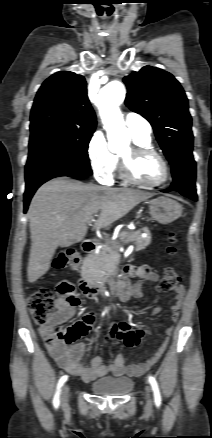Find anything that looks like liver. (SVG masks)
Listing matches in <instances>:
<instances>
[{"label": "liver", "instance_id": "1", "mask_svg": "<svg viewBox=\"0 0 212 438\" xmlns=\"http://www.w3.org/2000/svg\"><path fill=\"white\" fill-rule=\"evenodd\" d=\"M154 194L135 190L105 188L58 177L43 184L29 206L31 249L28 281L42 277L58 248L83 240L87 224L98 215L93 230L108 229L140 202Z\"/></svg>", "mask_w": 212, "mask_h": 438}]
</instances>
